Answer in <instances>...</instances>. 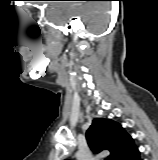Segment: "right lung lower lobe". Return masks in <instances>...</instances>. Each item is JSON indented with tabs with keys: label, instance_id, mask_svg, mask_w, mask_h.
<instances>
[{
	"label": "right lung lower lobe",
	"instance_id": "right-lung-lower-lobe-1",
	"mask_svg": "<svg viewBox=\"0 0 158 160\" xmlns=\"http://www.w3.org/2000/svg\"><path fill=\"white\" fill-rule=\"evenodd\" d=\"M123 160H141L138 148L135 146V148L129 152Z\"/></svg>",
	"mask_w": 158,
	"mask_h": 160
}]
</instances>
